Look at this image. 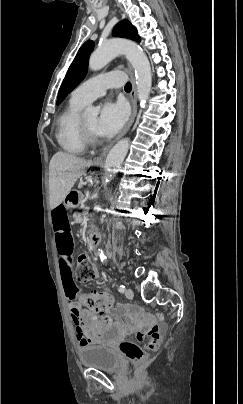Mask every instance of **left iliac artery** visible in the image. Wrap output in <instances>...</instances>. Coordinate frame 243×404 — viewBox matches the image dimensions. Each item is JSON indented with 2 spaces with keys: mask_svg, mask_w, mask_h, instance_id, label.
I'll return each instance as SVG.
<instances>
[{
  "mask_svg": "<svg viewBox=\"0 0 243 404\" xmlns=\"http://www.w3.org/2000/svg\"><path fill=\"white\" fill-rule=\"evenodd\" d=\"M118 291L123 293L125 291V286L124 285H120L118 288Z\"/></svg>",
  "mask_w": 243,
  "mask_h": 404,
  "instance_id": "obj_1",
  "label": "left iliac artery"
}]
</instances>
